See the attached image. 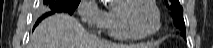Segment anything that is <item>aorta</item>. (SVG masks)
<instances>
[{
	"instance_id": "obj_1",
	"label": "aorta",
	"mask_w": 213,
	"mask_h": 48,
	"mask_svg": "<svg viewBox=\"0 0 213 48\" xmlns=\"http://www.w3.org/2000/svg\"><path fill=\"white\" fill-rule=\"evenodd\" d=\"M105 1L113 2V0H105Z\"/></svg>"
}]
</instances>
